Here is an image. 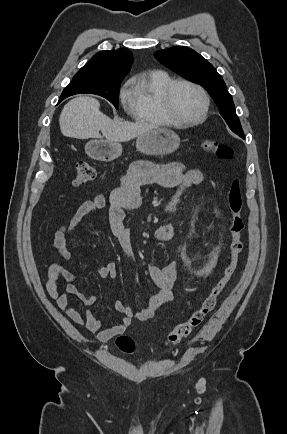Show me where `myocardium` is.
<instances>
[{
	"instance_id": "obj_1",
	"label": "myocardium",
	"mask_w": 287,
	"mask_h": 434,
	"mask_svg": "<svg viewBox=\"0 0 287 434\" xmlns=\"http://www.w3.org/2000/svg\"><path fill=\"white\" fill-rule=\"evenodd\" d=\"M181 84L193 87L201 95V98L203 101L202 111L197 117H195L193 119H187V120L180 119L175 115V113L173 111L172 95H173L175 88ZM161 104H162V109H163L164 114L166 115V117L169 119V121L172 124H175V125H194V124H198V123L205 120V118L207 117L208 111H209L210 101H209V96H208L206 90L200 84H198L194 81L188 80V79L180 78V79H173L170 83H168L166 85V87L164 88L163 93H162Z\"/></svg>"
}]
</instances>
